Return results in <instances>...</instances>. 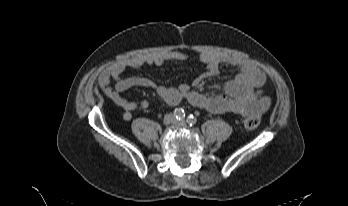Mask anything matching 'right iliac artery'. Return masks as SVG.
I'll use <instances>...</instances> for the list:
<instances>
[{"label": "right iliac artery", "mask_w": 348, "mask_h": 206, "mask_svg": "<svg viewBox=\"0 0 348 206\" xmlns=\"http://www.w3.org/2000/svg\"><path fill=\"white\" fill-rule=\"evenodd\" d=\"M174 116L177 120H182L185 117V112L183 109L176 108L174 110Z\"/></svg>", "instance_id": "82829eb1"}]
</instances>
